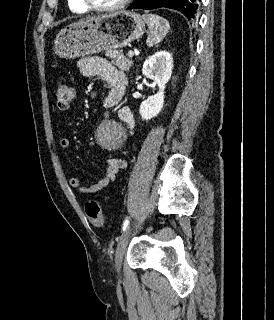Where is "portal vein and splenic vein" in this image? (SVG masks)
I'll return each instance as SVG.
<instances>
[{
  "mask_svg": "<svg viewBox=\"0 0 274 320\" xmlns=\"http://www.w3.org/2000/svg\"><path fill=\"white\" fill-rule=\"evenodd\" d=\"M134 54H136V52H128L129 58H133ZM138 54H139V52H138ZM138 54H136V56H138Z\"/></svg>",
  "mask_w": 274,
  "mask_h": 320,
  "instance_id": "1",
  "label": "portal vein and splenic vein"
}]
</instances>
